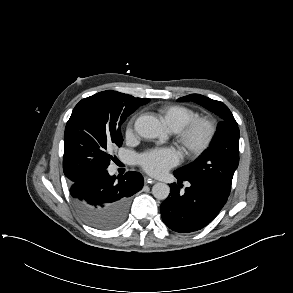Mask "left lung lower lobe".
Masks as SVG:
<instances>
[{"label": "left lung lower lobe", "mask_w": 293, "mask_h": 293, "mask_svg": "<svg viewBox=\"0 0 293 293\" xmlns=\"http://www.w3.org/2000/svg\"><path fill=\"white\" fill-rule=\"evenodd\" d=\"M178 183L170 184V194L161 204L163 222L173 231L190 233L208 225L223 208L230 190L195 177H183L174 172ZM190 186L180 192L182 182Z\"/></svg>", "instance_id": "left-lung-lower-lobe-1"}]
</instances>
